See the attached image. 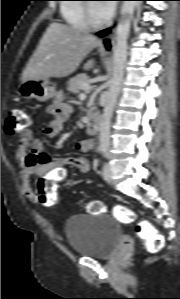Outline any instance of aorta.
<instances>
[{"mask_svg": "<svg viewBox=\"0 0 180 299\" xmlns=\"http://www.w3.org/2000/svg\"><path fill=\"white\" fill-rule=\"evenodd\" d=\"M137 3V1H123L121 18L116 28L115 47L113 51V74L104 103L103 115L99 128L100 146L103 149H107L109 147L111 119L124 77L127 57V39L134 9L137 6Z\"/></svg>", "mask_w": 180, "mask_h": 299, "instance_id": "obj_1", "label": "aorta"}]
</instances>
